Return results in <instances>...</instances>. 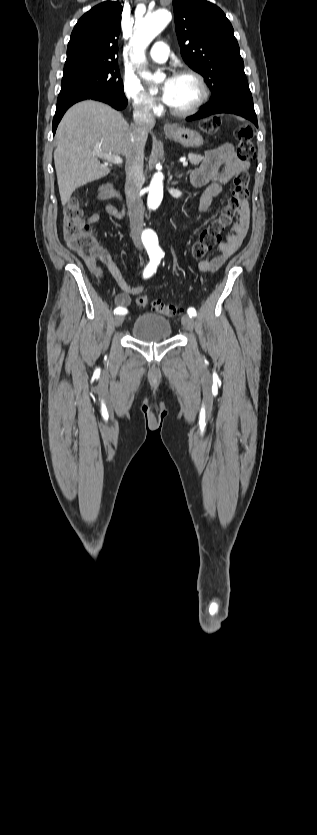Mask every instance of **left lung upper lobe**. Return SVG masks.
I'll use <instances>...</instances> for the list:
<instances>
[{"instance_id":"obj_1","label":"left lung upper lobe","mask_w":317,"mask_h":835,"mask_svg":"<svg viewBox=\"0 0 317 835\" xmlns=\"http://www.w3.org/2000/svg\"><path fill=\"white\" fill-rule=\"evenodd\" d=\"M175 28L185 62L206 80L209 103L251 96L234 30L223 11L206 0H174Z\"/></svg>"}]
</instances>
